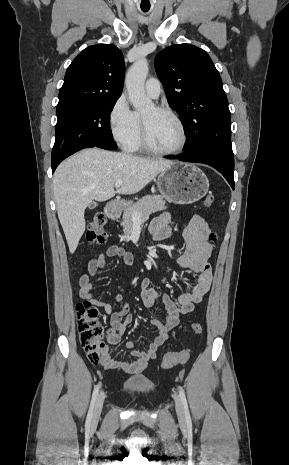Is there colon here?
I'll list each match as a JSON object with an SVG mask.
<instances>
[{
	"label": "colon",
	"instance_id": "1",
	"mask_svg": "<svg viewBox=\"0 0 289 465\" xmlns=\"http://www.w3.org/2000/svg\"><path fill=\"white\" fill-rule=\"evenodd\" d=\"M213 194H208L204 199V205L210 207L214 203ZM106 218L102 213L94 216L90 222L86 238L90 243L103 244L107 238L105 229ZM217 235L210 233L209 241L215 242ZM79 339L83 350L92 362H99L104 349L105 328L99 320L98 311L89 301H83L76 305ZM191 329L195 334L202 333L199 323H193ZM190 356V351L184 349L179 352L166 353L161 359L162 368L168 369L185 363Z\"/></svg>",
	"mask_w": 289,
	"mask_h": 465
}]
</instances>
